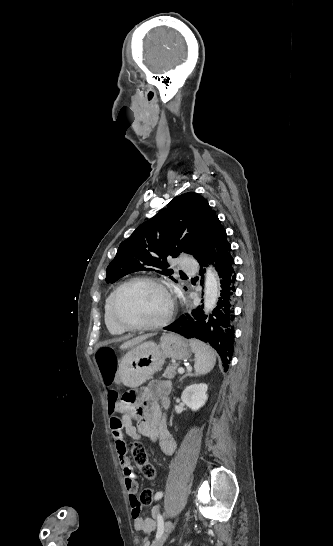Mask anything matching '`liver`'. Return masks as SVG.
Returning <instances> with one entry per match:
<instances>
[{"instance_id": "liver-1", "label": "liver", "mask_w": 333, "mask_h": 546, "mask_svg": "<svg viewBox=\"0 0 333 546\" xmlns=\"http://www.w3.org/2000/svg\"><path fill=\"white\" fill-rule=\"evenodd\" d=\"M150 337V335H142V336H138L134 339H131L129 341H126L125 343H123L121 346H120V349L122 350H126V349H132L134 348L136 345H138L139 343H141L142 341L148 339Z\"/></svg>"}]
</instances>
